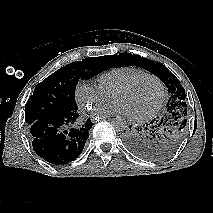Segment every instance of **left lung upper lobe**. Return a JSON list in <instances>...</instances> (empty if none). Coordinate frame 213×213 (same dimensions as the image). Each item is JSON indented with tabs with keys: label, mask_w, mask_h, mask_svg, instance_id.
<instances>
[{
	"label": "left lung upper lobe",
	"mask_w": 213,
	"mask_h": 213,
	"mask_svg": "<svg viewBox=\"0 0 213 213\" xmlns=\"http://www.w3.org/2000/svg\"><path fill=\"white\" fill-rule=\"evenodd\" d=\"M115 67L139 66L159 77L170 93L162 119L164 123L150 141L149 159H164L173 154L186 134L187 105L185 90L180 81L161 63L130 53L114 55Z\"/></svg>",
	"instance_id": "obj_1"
}]
</instances>
